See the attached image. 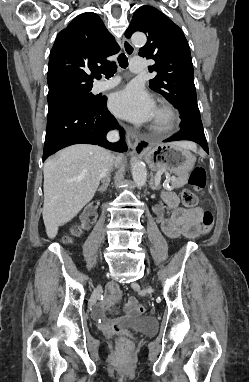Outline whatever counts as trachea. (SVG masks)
<instances>
[{
  "label": "trachea",
  "mask_w": 249,
  "mask_h": 382,
  "mask_svg": "<svg viewBox=\"0 0 249 382\" xmlns=\"http://www.w3.org/2000/svg\"><path fill=\"white\" fill-rule=\"evenodd\" d=\"M118 63L122 68H126L128 66V59L125 54H120L118 56ZM117 71V65L115 62L108 64L103 70L102 73L107 77H112Z\"/></svg>",
  "instance_id": "trachea-1"
}]
</instances>
